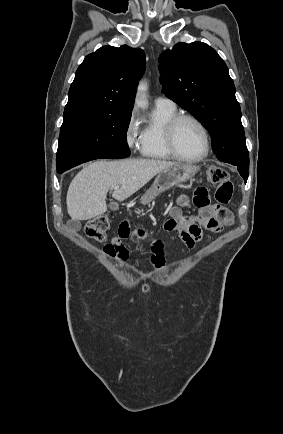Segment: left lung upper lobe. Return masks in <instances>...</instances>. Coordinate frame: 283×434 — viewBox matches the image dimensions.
Returning a JSON list of instances; mask_svg holds the SVG:
<instances>
[{
	"instance_id": "1",
	"label": "left lung upper lobe",
	"mask_w": 283,
	"mask_h": 434,
	"mask_svg": "<svg viewBox=\"0 0 283 434\" xmlns=\"http://www.w3.org/2000/svg\"><path fill=\"white\" fill-rule=\"evenodd\" d=\"M158 61L162 92L208 130L218 160L249 165L234 82L218 53L203 42L178 43Z\"/></svg>"
}]
</instances>
